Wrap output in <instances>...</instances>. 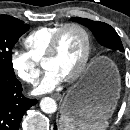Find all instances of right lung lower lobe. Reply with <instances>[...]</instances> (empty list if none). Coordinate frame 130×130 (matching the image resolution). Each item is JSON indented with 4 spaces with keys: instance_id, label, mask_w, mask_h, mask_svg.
Wrapping results in <instances>:
<instances>
[{
    "instance_id": "obj_1",
    "label": "right lung lower lobe",
    "mask_w": 130,
    "mask_h": 130,
    "mask_svg": "<svg viewBox=\"0 0 130 130\" xmlns=\"http://www.w3.org/2000/svg\"><path fill=\"white\" fill-rule=\"evenodd\" d=\"M15 75L0 69V130H18L21 119L36 99L25 98Z\"/></svg>"
}]
</instances>
